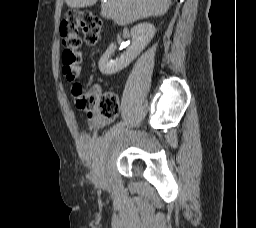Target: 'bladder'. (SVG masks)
Masks as SVG:
<instances>
[{"label": "bladder", "mask_w": 256, "mask_h": 228, "mask_svg": "<svg viewBox=\"0 0 256 228\" xmlns=\"http://www.w3.org/2000/svg\"><path fill=\"white\" fill-rule=\"evenodd\" d=\"M136 142L134 137L110 130L102 137L88 140L85 150L94 171L102 172L119 154Z\"/></svg>", "instance_id": "bladder-1"}]
</instances>
